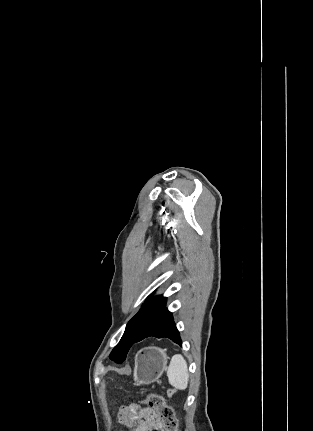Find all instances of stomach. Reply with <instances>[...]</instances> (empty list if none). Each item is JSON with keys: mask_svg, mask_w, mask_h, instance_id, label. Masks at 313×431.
<instances>
[{"mask_svg": "<svg viewBox=\"0 0 313 431\" xmlns=\"http://www.w3.org/2000/svg\"><path fill=\"white\" fill-rule=\"evenodd\" d=\"M168 357L165 350L148 347L140 350L135 358L134 382L148 385L159 379L166 369Z\"/></svg>", "mask_w": 313, "mask_h": 431, "instance_id": "stomach-1", "label": "stomach"}]
</instances>
